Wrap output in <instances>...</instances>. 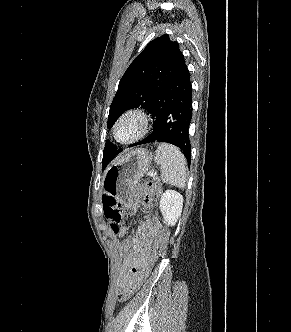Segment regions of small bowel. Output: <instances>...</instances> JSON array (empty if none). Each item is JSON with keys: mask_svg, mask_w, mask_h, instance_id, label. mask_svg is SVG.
<instances>
[{"mask_svg": "<svg viewBox=\"0 0 291 332\" xmlns=\"http://www.w3.org/2000/svg\"><path fill=\"white\" fill-rule=\"evenodd\" d=\"M123 229L127 231L125 226ZM161 229L158 219L148 217L139 224L136 232L123 242L128 256L123 266L121 291L132 282L136 271L149 259L153 245L159 240Z\"/></svg>", "mask_w": 291, "mask_h": 332, "instance_id": "small-bowel-1", "label": "small bowel"}]
</instances>
